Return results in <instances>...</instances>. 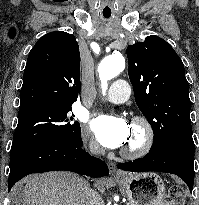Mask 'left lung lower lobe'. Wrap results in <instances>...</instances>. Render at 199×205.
<instances>
[{
	"label": "left lung lower lobe",
	"instance_id": "1",
	"mask_svg": "<svg viewBox=\"0 0 199 205\" xmlns=\"http://www.w3.org/2000/svg\"><path fill=\"white\" fill-rule=\"evenodd\" d=\"M117 168L125 171H158L178 175L192 192L194 183V142L193 139H177L163 148L152 151L143 158L119 163Z\"/></svg>",
	"mask_w": 199,
	"mask_h": 205
}]
</instances>
